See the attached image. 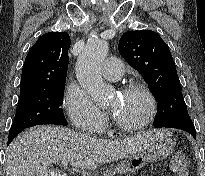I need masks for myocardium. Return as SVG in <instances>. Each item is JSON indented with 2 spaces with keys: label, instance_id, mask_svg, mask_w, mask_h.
<instances>
[{
  "label": "myocardium",
  "instance_id": "myocardium-1",
  "mask_svg": "<svg viewBox=\"0 0 205 176\" xmlns=\"http://www.w3.org/2000/svg\"><path fill=\"white\" fill-rule=\"evenodd\" d=\"M124 92L125 93L138 92V93H141L142 95H144L145 98L147 99L148 105H149L148 114L144 118V120H142L141 122H139L138 124H135V125L125 124V123L121 122L120 120H118L112 114L113 123L115 124V126L118 129H120L122 131H126V132H134V131H138V130H141V129L147 127L153 121V119L156 115V111H157V103H156V99H155L153 93L145 85L140 84V83H134V84L126 86Z\"/></svg>",
  "mask_w": 205,
  "mask_h": 176
}]
</instances>
